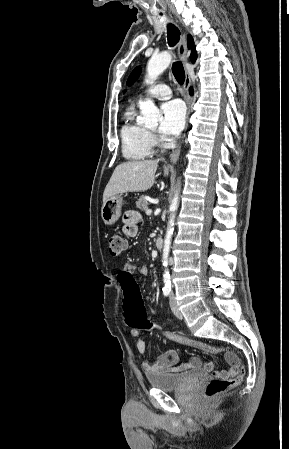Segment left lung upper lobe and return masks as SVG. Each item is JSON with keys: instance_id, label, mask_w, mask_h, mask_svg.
Segmentation results:
<instances>
[{"instance_id": "5c2ea615", "label": "left lung upper lobe", "mask_w": 289, "mask_h": 449, "mask_svg": "<svg viewBox=\"0 0 289 449\" xmlns=\"http://www.w3.org/2000/svg\"><path fill=\"white\" fill-rule=\"evenodd\" d=\"M139 74H140V67H136L130 74V76L127 80V85L131 86L135 82V80L138 78Z\"/></svg>"}]
</instances>
